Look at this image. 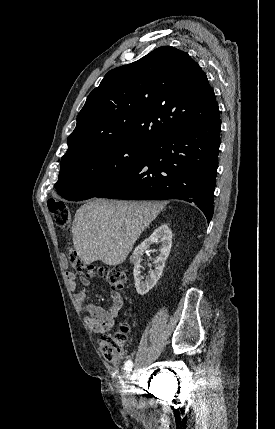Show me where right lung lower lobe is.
<instances>
[{"label":"right lung lower lobe","mask_w":275,"mask_h":429,"mask_svg":"<svg viewBox=\"0 0 275 429\" xmlns=\"http://www.w3.org/2000/svg\"><path fill=\"white\" fill-rule=\"evenodd\" d=\"M221 121L179 128L153 141L143 162L95 197L181 199L199 206L210 222L218 167Z\"/></svg>","instance_id":"98d812e1"}]
</instances>
